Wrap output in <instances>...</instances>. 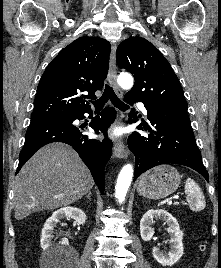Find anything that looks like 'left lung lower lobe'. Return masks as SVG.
<instances>
[{
	"label": "left lung lower lobe",
	"mask_w": 221,
	"mask_h": 268,
	"mask_svg": "<svg viewBox=\"0 0 221 268\" xmlns=\"http://www.w3.org/2000/svg\"><path fill=\"white\" fill-rule=\"evenodd\" d=\"M125 101L132 105L137 100L125 95ZM148 111L151 126L139 124L138 129L150 133L142 135L133 132L128 137V147L134 153L136 179L148 169L161 164L175 163L188 166L209 181L203 165L201 152L196 144L187 110L144 105ZM135 110L129 114V123L137 122Z\"/></svg>",
	"instance_id": "0a47b994"
}]
</instances>
